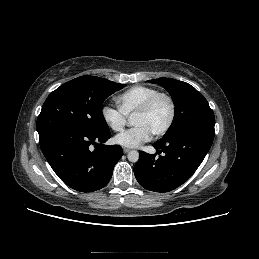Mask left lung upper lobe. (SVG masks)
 Wrapping results in <instances>:
<instances>
[{
    "mask_svg": "<svg viewBox=\"0 0 259 259\" xmlns=\"http://www.w3.org/2000/svg\"><path fill=\"white\" fill-rule=\"evenodd\" d=\"M158 83L172 96L176 107L173 122L163 136L169 137L187 130H199L211 135L215 134V117L207 100L190 84L172 78L149 80Z\"/></svg>",
    "mask_w": 259,
    "mask_h": 259,
    "instance_id": "1",
    "label": "left lung upper lobe"
}]
</instances>
